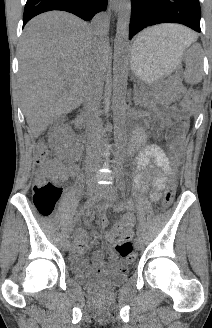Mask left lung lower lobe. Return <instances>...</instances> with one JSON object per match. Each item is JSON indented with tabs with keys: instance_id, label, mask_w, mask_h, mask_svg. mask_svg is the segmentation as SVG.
Returning a JSON list of instances; mask_svg holds the SVG:
<instances>
[{
	"instance_id": "0a47b994",
	"label": "left lung lower lobe",
	"mask_w": 212,
	"mask_h": 328,
	"mask_svg": "<svg viewBox=\"0 0 212 328\" xmlns=\"http://www.w3.org/2000/svg\"><path fill=\"white\" fill-rule=\"evenodd\" d=\"M129 39L160 23H180L200 32L199 0H131Z\"/></svg>"
}]
</instances>
